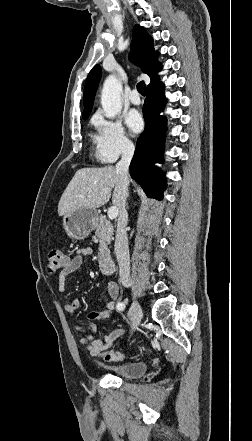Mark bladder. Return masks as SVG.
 <instances>
[{
	"mask_svg": "<svg viewBox=\"0 0 252 441\" xmlns=\"http://www.w3.org/2000/svg\"><path fill=\"white\" fill-rule=\"evenodd\" d=\"M102 368L124 379H136L147 372L148 364L144 361H136L121 365H103Z\"/></svg>",
	"mask_w": 252,
	"mask_h": 441,
	"instance_id": "31cf9c89",
	"label": "bladder"
}]
</instances>
